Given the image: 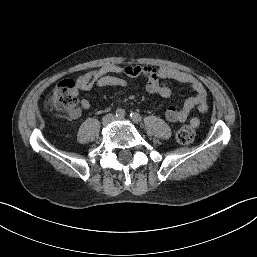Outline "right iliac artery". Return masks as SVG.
<instances>
[{"instance_id": "right-iliac-artery-1", "label": "right iliac artery", "mask_w": 257, "mask_h": 257, "mask_svg": "<svg viewBox=\"0 0 257 257\" xmlns=\"http://www.w3.org/2000/svg\"><path fill=\"white\" fill-rule=\"evenodd\" d=\"M116 116H117L118 118H123V117L125 116V111H124L123 109H118V110L116 111Z\"/></svg>"}]
</instances>
